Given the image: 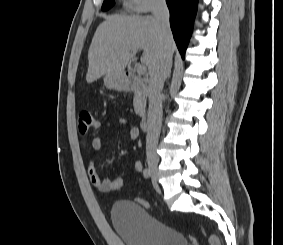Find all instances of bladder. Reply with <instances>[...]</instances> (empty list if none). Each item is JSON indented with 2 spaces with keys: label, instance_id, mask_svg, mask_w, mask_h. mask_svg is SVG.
I'll use <instances>...</instances> for the list:
<instances>
[{
  "label": "bladder",
  "instance_id": "1",
  "mask_svg": "<svg viewBox=\"0 0 283 245\" xmlns=\"http://www.w3.org/2000/svg\"><path fill=\"white\" fill-rule=\"evenodd\" d=\"M113 227L125 245H188L178 230L152 217L142 205L118 200L111 208Z\"/></svg>",
  "mask_w": 283,
  "mask_h": 245
}]
</instances>
